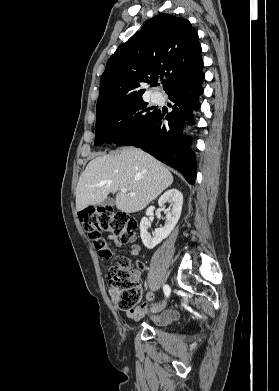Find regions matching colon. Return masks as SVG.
Segmentation results:
<instances>
[{
    "label": "colon",
    "mask_w": 279,
    "mask_h": 391,
    "mask_svg": "<svg viewBox=\"0 0 279 391\" xmlns=\"http://www.w3.org/2000/svg\"><path fill=\"white\" fill-rule=\"evenodd\" d=\"M79 220L101 258L112 256L111 241L120 244L133 243L137 239V221L125 212L111 207L86 208L79 212ZM108 232V238L102 233ZM108 280L116 306L125 311L134 309L142 299V288L137 275L130 269L126 257L120 256L109 270Z\"/></svg>",
    "instance_id": "obj_1"
}]
</instances>
